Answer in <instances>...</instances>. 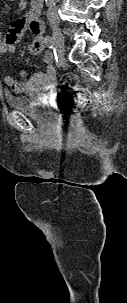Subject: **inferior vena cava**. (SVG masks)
<instances>
[{
	"label": "inferior vena cava",
	"instance_id": "1",
	"mask_svg": "<svg viewBox=\"0 0 127 303\" xmlns=\"http://www.w3.org/2000/svg\"><path fill=\"white\" fill-rule=\"evenodd\" d=\"M48 17L49 18H54L56 20L59 19L56 7H53L51 9H49V11H48Z\"/></svg>",
	"mask_w": 127,
	"mask_h": 303
}]
</instances>
